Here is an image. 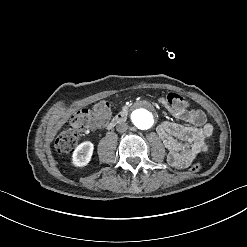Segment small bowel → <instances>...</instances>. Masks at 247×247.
Masks as SVG:
<instances>
[{"label":"small bowel","instance_id":"obj_1","mask_svg":"<svg viewBox=\"0 0 247 247\" xmlns=\"http://www.w3.org/2000/svg\"><path fill=\"white\" fill-rule=\"evenodd\" d=\"M173 111L178 119L193 126L163 121L158 125L157 133L169 151L168 163L174 168L183 169L208 150L206 128L212 126L206 122V116L201 110Z\"/></svg>","mask_w":247,"mask_h":247}]
</instances>
